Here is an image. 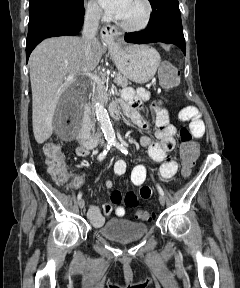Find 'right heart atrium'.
I'll use <instances>...</instances> for the list:
<instances>
[{
  "label": "right heart atrium",
  "instance_id": "1",
  "mask_svg": "<svg viewBox=\"0 0 240 288\" xmlns=\"http://www.w3.org/2000/svg\"><path fill=\"white\" fill-rule=\"evenodd\" d=\"M86 13L92 19H99L102 17V11L95 0H87Z\"/></svg>",
  "mask_w": 240,
  "mask_h": 288
}]
</instances>
